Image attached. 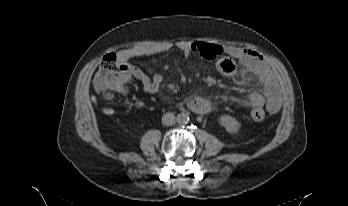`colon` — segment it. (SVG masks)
Masks as SVG:
<instances>
[{
  "label": "colon",
  "instance_id": "colon-1",
  "mask_svg": "<svg viewBox=\"0 0 348 206\" xmlns=\"http://www.w3.org/2000/svg\"><path fill=\"white\" fill-rule=\"evenodd\" d=\"M132 80L131 71L115 53L105 55L99 65L94 79L96 90L108 101L115 94L124 92ZM107 113L112 114L113 108H108ZM251 117L256 122H262L265 117V111L261 107H254L251 111Z\"/></svg>",
  "mask_w": 348,
  "mask_h": 206
}]
</instances>
